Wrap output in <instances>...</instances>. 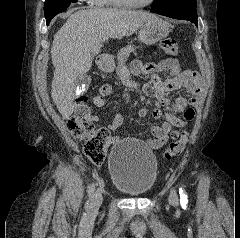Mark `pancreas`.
Wrapping results in <instances>:
<instances>
[{
	"mask_svg": "<svg viewBox=\"0 0 240 238\" xmlns=\"http://www.w3.org/2000/svg\"><path fill=\"white\" fill-rule=\"evenodd\" d=\"M135 52L133 45H128L122 48L117 55L118 66L116 68L117 75H120L122 70L125 68V62L127 61L130 53Z\"/></svg>",
	"mask_w": 240,
	"mask_h": 238,
	"instance_id": "cf45deb5",
	"label": "pancreas"
}]
</instances>
